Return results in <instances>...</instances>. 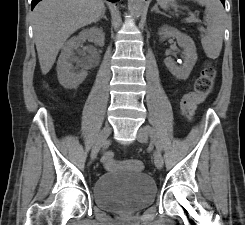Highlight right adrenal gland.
<instances>
[{
  "mask_svg": "<svg viewBox=\"0 0 245 225\" xmlns=\"http://www.w3.org/2000/svg\"><path fill=\"white\" fill-rule=\"evenodd\" d=\"M101 19H105L108 20L106 15H105V11L102 13V15L100 16V18L98 19V21H100Z\"/></svg>",
  "mask_w": 245,
  "mask_h": 225,
  "instance_id": "obj_1",
  "label": "right adrenal gland"
}]
</instances>
